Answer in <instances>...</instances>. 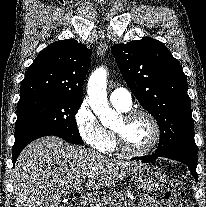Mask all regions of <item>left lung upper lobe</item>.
Here are the masks:
<instances>
[{"instance_id": "obj_1", "label": "left lung upper lobe", "mask_w": 206, "mask_h": 207, "mask_svg": "<svg viewBox=\"0 0 206 207\" xmlns=\"http://www.w3.org/2000/svg\"><path fill=\"white\" fill-rule=\"evenodd\" d=\"M132 93L158 122L156 154L197 155L187 78L167 47L144 37L111 48Z\"/></svg>"}]
</instances>
